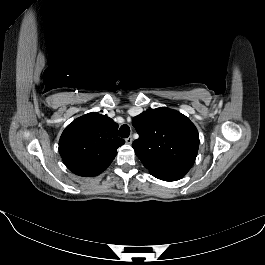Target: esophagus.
<instances>
[{"label":"esophagus","mask_w":265,"mask_h":265,"mask_svg":"<svg viewBox=\"0 0 265 265\" xmlns=\"http://www.w3.org/2000/svg\"><path fill=\"white\" fill-rule=\"evenodd\" d=\"M132 141H133V139H132L131 136H129L128 138H126V143H127V144H131Z\"/></svg>","instance_id":"1"}]
</instances>
